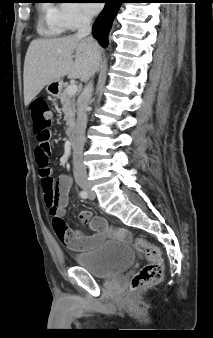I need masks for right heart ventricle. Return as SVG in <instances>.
Instances as JSON below:
<instances>
[{
  "instance_id": "obj_1",
  "label": "right heart ventricle",
  "mask_w": 213,
  "mask_h": 338,
  "mask_svg": "<svg viewBox=\"0 0 213 338\" xmlns=\"http://www.w3.org/2000/svg\"><path fill=\"white\" fill-rule=\"evenodd\" d=\"M43 10L45 11V17L44 22L41 24V31L47 35L55 36L67 30L59 20L57 7L45 5Z\"/></svg>"
}]
</instances>
